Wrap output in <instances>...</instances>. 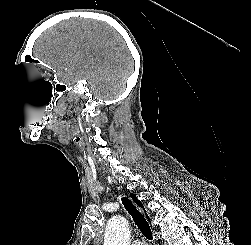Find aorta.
I'll return each mask as SVG.
<instances>
[{"label": "aorta", "mask_w": 251, "mask_h": 245, "mask_svg": "<svg viewBox=\"0 0 251 245\" xmlns=\"http://www.w3.org/2000/svg\"><path fill=\"white\" fill-rule=\"evenodd\" d=\"M130 228L128 221L122 216L112 217L106 226L104 245H129Z\"/></svg>", "instance_id": "1"}]
</instances>
